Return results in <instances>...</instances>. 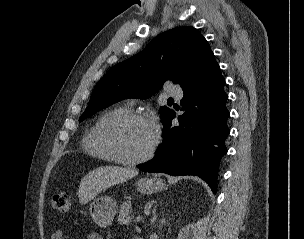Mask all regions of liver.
<instances>
[{"mask_svg": "<svg viewBox=\"0 0 304 239\" xmlns=\"http://www.w3.org/2000/svg\"><path fill=\"white\" fill-rule=\"evenodd\" d=\"M138 175V171L118 166H103L90 171L80 182L78 197L87 204L100 192Z\"/></svg>", "mask_w": 304, "mask_h": 239, "instance_id": "1", "label": "liver"}]
</instances>
